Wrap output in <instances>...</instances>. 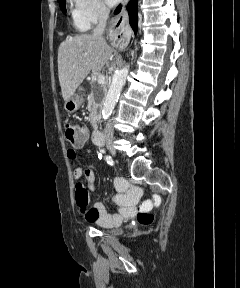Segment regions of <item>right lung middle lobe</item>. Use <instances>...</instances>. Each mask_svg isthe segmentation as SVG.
I'll list each match as a JSON object with an SVG mask.
<instances>
[{"label":"right lung middle lobe","mask_w":240,"mask_h":288,"mask_svg":"<svg viewBox=\"0 0 240 288\" xmlns=\"http://www.w3.org/2000/svg\"><path fill=\"white\" fill-rule=\"evenodd\" d=\"M58 2H59L62 12L65 14L66 13L65 0H58Z\"/></svg>","instance_id":"dd1d6c3e"}]
</instances>
